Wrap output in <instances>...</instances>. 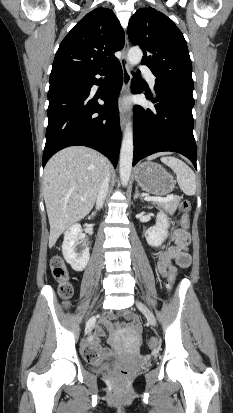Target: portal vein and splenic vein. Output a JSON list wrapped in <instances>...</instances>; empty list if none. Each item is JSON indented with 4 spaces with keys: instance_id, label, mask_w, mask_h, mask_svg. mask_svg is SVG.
Listing matches in <instances>:
<instances>
[{
    "instance_id": "obj_1",
    "label": "portal vein and splenic vein",
    "mask_w": 233,
    "mask_h": 413,
    "mask_svg": "<svg viewBox=\"0 0 233 413\" xmlns=\"http://www.w3.org/2000/svg\"><path fill=\"white\" fill-rule=\"evenodd\" d=\"M174 199L173 194H170L166 197H145V200L155 201V202H168Z\"/></svg>"
}]
</instances>
